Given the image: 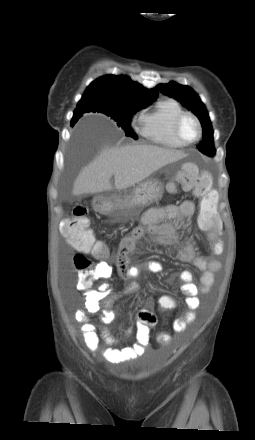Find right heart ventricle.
Listing matches in <instances>:
<instances>
[{"label": "right heart ventricle", "mask_w": 255, "mask_h": 440, "mask_svg": "<svg viewBox=\"0 0 255 440\" xmlns=\"http://www.w3.org/2000/svg\"><path fill=\"white\" fill-rule=\"evenodd\" d=\"M183 112L182 105L176 99L159 100L152 109L141 116V135L147 140L167 148H183L185 145L177 140L173 132L174 122Z\"/></svg>", "instance_id": "obj_1"}]
</instances>
